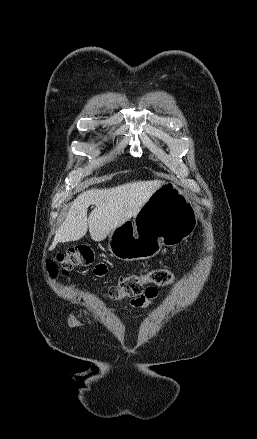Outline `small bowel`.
I'll return each instance as SVG.
<instances>
[{
	"label": "small bowel",
	"mask_w": 257,
	"mask_h": 439,
	"mask_svg": "<svg viewBox=\"0 0 257 439\" xmlns=\"http://www.w3.org/2000/svg\"><path fill=\"white\" fill-rule=\"evenodd\" d=\"M152 271L149 267H144L136 270L135 275H145ZM94 273L98 277H103L108 273V268L105 264H99L95 267ZM158 295V290L155 287H147L144 293L130 301L131 306L135 308H146L153 303Z\"/></svg>",
	"instance_id": "c3829d8e"
}]
</instances>
